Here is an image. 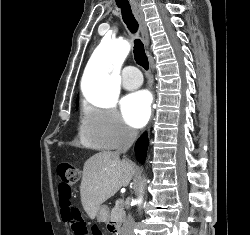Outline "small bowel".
<instances>
[{"label": "small bowel", "instance_id": "c3829d8e", "mask_svg": "<svg viewBox=\"0 0 250 235\" xmlns=\"http://www.w3.org/2000/svg\"><path fill=\"white\" fill-rule=\"evenodd\" d=\"M93 235H100V234L93 232Z\"/></svg>", "mask_w": 250, "mask_h": 235}]
</instances>
